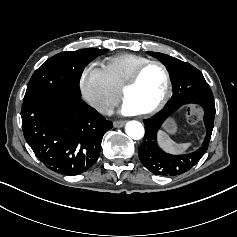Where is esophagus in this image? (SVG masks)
Listing matches in <instances>:
<instances>
[{
    "instance_id": "34e87169",
    "label": "esophagus",
    "mask_w": 237,
    "mask_h": 237,
    "mask_svg": "<svg viewBox=\"0 0 237 237\" xmlns=\"http://www.w3.org/2000/svg\"><path fill=\"white\" fill-rule=\"evenodd\" d=\"M125 123H126L125 121H114L113 126L115 128H120V127H123L125 125Z\"/></svg>"
}]
</instances>
